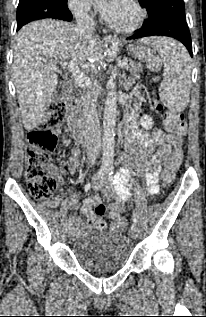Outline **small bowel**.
<instances>
[{
    "instance_id": "c3829d8e",
    "label": "small bowel",
    "mask_w": 206,
    "mask_h": 317,
    "mask_svg": "<svg viewBox=\"0 0 206 317\" xmlns=\"http://www.w3.org/2000/svg\"><path fill=\"white\" fill-rule=\"evenodd\" d=\"M160 105H158V108ZM130 130L126 134V148L128 153L124 156V162L134 167L137 171L144 173V181L146 190L149 195H154L159 191V169L160 164L171 153L173 148H180L182 139L178 135L163 133L159 130L152 132L142 131L138 128L137 117L131 115L129 118ZM77 155L78 152L75 151ZM134 156L141 163L132 164L131 157ZM77 160H72L73 168L77 167ZM52 174L62 181L56 169H52ZM129 171L121 170L118 175L112 180L109 187H104L102 182L94 184V189L102 190L106 197H115V201L110 205L108 217L114 222L119 220L121 213L124 211L125 202L131 197L129 182ZM98 181V180H97ZM134 182V181H132ZM100 203V199L95 196L86 198L81 207V213L88 219L87 224L76 219L75 224L80 235L87 232L89 228H102L105 222L98 217L93 207ZM44 205L50 208L60 206L58 198L45 200ZM67 206L70 209H76L77 200L72 192L69 193Z\"/></svg>"
}]
</instances>
